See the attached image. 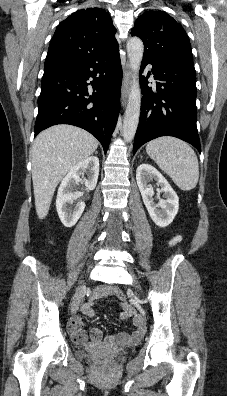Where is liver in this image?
<instances>
[{"instance_id": "liver-1", "label": "liver", "mask_w": 227, "mask_h": 396, "mask_svg": "<svg viewBox=\"0 0 227 396\" xmlns=\"http://www.w3.org/2000/svg\"><path fill=\"white\" fill-rule=\"evenodd\" d=\"M98 147L87 131L71 125H55L42 131L32 146V180L39 219L47 216L55 188L80 161Z\"/></svg>"}]
</instances>
